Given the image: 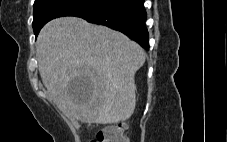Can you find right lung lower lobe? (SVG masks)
Segmentation results:
<instances>
[{
  "mask_svg": "<svg viewBox=\"0 0 227 142\" xmlns=\"http://www.w3.org/2000/svg\"><path fill=\"white\" fill-rule=\"evenodd\" d=\"M77 17L118 30L143 48L149 49L144 0H111L106 5L84 12Z\"/></svg>",
  "mask_w": 227,
  "mask_h": 142,
  "instance_id": "98d812e1",
  "label": "right lung lower lobe"
}]
</instances>
